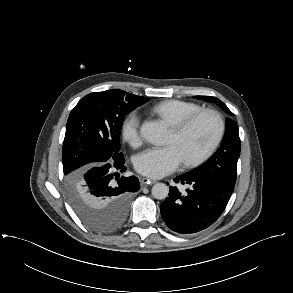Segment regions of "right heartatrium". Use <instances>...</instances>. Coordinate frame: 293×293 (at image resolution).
I'll list each match as a JSON object with an SVG mask.
<instances>
[{"mask_svg":"<svg viewBox=\"0 0 293 293\" xmlns=\"http://www.w3.org/2000/svg\"><path fill=\"white\" fill-rule=\"evenodd\" d=\"M141 117L136 112H131L124 118L121 127L122 137L130 145L136 146L141 141Z\"/></svg>","mask_w":293,"mask_h":293,"instance_id":"right-heart-atrium-1","label":"right heart atrium"}]
</instances>
